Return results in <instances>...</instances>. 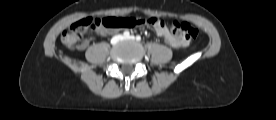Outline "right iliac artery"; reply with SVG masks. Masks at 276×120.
Masks as SVG:
<instances>
[{
	"mask_svg": "<svg viewBox=\"0 0 276 120\" xmlns=\"http://www.w3.org/2000/svg\"><path fill=\"white\" fill-rule=\"evenodd\" d=\"M123 36H124L125 38H128V37L130 36L129 31H124Z\"/></svg>",
	"mask_w": 276,
	"mask_h": 120,
	"instance_id": "82829eb1",
	"label": "right iliac artery"
}]
</instances>
